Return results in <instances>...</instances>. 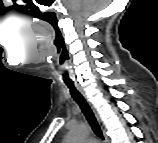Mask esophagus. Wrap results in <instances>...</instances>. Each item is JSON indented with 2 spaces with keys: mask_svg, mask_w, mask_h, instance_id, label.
Listing matches in <instances>:
<instances>
[{
  "mask_svg": "<svg viewBox=\"0 0 158 143\" xmlns=\"http://www.w3.org/2000/svg\"><path fill=\"white\" fill-rule=\"evenodd\" d=\"M76 88H77L78 91L86 98V95H85L83 89H82L79 85H76ZM96 119H97V121L99 122V125L101 126V128H102V130H103V126L101 125V121H100L98 115H96ZM105 139H107L106 136H105Z\"/></svg>",
  "mask_w": 158,
  "mask_h": 143,
  "instance_id": "esophagus-1",
  "label": "esophagus"
}]
</instances>
